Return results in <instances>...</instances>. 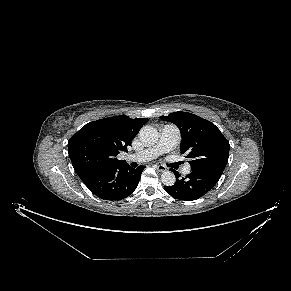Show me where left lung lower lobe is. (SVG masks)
Listing matches in <instances>:
<instances>
[{"instance_id":"0a47b994","label":"left lung lower lobe","mask_w":291,"mask_h":291,"mask_svg":"<svg viewBox=\"0 0 291 291\" xmlns=\"http://www.w3.org/2000/svg\"><path fill=\"white\" fill-rule=\"evenodd\" d=\"M176 174V182L172 186H164L165 191L172 197L193 201L207 194L218 182L222 173L216 171L195 170L187 175L186 178H180L178 172Z\"/></svg>"}]
</instances>
